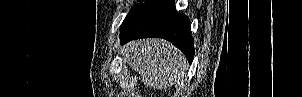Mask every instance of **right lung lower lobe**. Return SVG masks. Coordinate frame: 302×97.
I'll return each mask as SVG.
<instances>
[{"instance_id":"obj_1","label":"right lung lower lobe","mask_w":302,"mask_h":97,"mask_svg":"<svg viewBox=\"0 0 302 97\" xmlns=\"http://www.w3.org/2000/svg\"><path fill=\"white\" fill-rule=\"evenodd\" d=\"M121 44L146 37L164 38L178 47L189 63L194 58V40L190 21L184 14L177 13L174 0H147L121 26Z\"/></svg>"}]
</instances>
